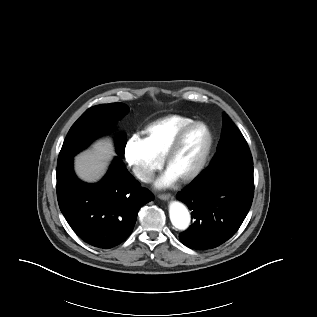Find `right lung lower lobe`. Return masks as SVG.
I'll use <instances>...</instances> for the list:
<instances>
[{"label":"right lung lower lobe","instance_id":"98d812e1","mask_svg":"<svg viewBox=\"0 0 317 317\" xmlns=\"http://www.w3.org/2000/svg\"><path fill=\"white\" fill-rule=\"evenodd\" d=\"M73 161L57 166V198L70 227L86 243L101 249L115 247L131 234L139 209L154 196L116 157L96 184L80 181Z\"/></svg>","mask_w":317,"mask_h":317}]
</instances>
